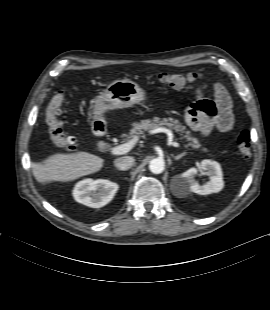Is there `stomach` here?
<instances>
[{"instance_id": "stomach-1", "label": "stomach", "mask_w": 270, "mask_h": 310, "mask_svg": "<svg viewBox=\"0 0 270 310\" xmlns=\"http://www.w3.org/2000/svg\"><path fill=\"white\" fill-rule=\"evenodd\" d=\"M145 99V91L135 82L119 79L111 82L93 104V123H103L107 110L127 108Z\"/></svg>"}]
</instances>
